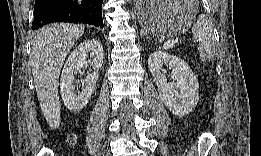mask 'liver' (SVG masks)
<instances>
[{
	"label": "liver",
	"mask_w": 261,
	"mask_h": 156,
	"mask_svg": "<svg viewBox=\"0 0 261 156\" xmlns=\"http://www.w3.org/2000/svg\"><path fill=\"white\" fill-rule=\"evenodd\" d=\"M83 33V25L53 23L42 27L33 36L31 63L34 83L41 111L52 129L60 125V71Z\"/></svg>",
	"instance_id": "1"
}]
</instances>
